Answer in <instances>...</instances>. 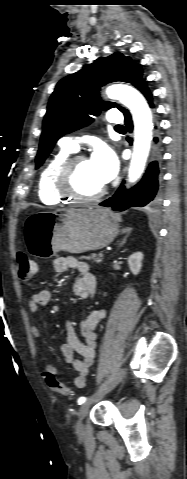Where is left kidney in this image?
<instances>
[{
    "label": "left kidney",
    "mask_w": 187,
    "mask_h": 479,
    "mask_svg": "<svg viewBox=\"0 0 187 479\" xmlns=\"http://www.w3.org/2000/svg\"><path fill=\"white\" fill-rule=\"evenodd\" d=\"M142 260H143V253L142 252H135L128 258V265L130 271L137 275L139 274L141 267H142Z\"/></svg>",
    "instance_id": "obj_1"
}]
</instances>
